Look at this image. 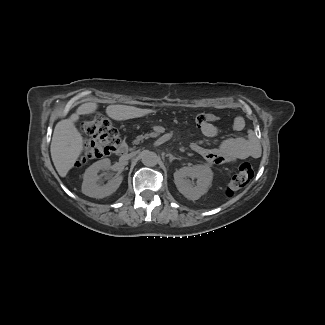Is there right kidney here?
Here are the masks:
<instances>
[{
  "label": "right kidney",
  "mask_w": 325,
  "mask_h": 325,
  "mask_svg": "<svg viewBox=\"0 0 325 325\" xmlns=\"http://www.w3.org/2000/svg\"><path fill=\"white\" fill-rule=\"evenodd\" d=\"M110 160L102 159L93 163L89 168L86 169L82 183V193L93 198H104L113 194L121 185L123 176L116 175L113 180L105 185L97 183L100 170H108L110 168Z\"/></svg>",
  "instance_id": "obj_1"
}]
</instances>
